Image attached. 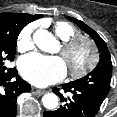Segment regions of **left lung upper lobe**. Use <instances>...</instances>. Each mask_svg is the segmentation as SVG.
Instances as JSON below:
<instances>
[{
  "label": "left lung upper lobe",
  "mask_w": 117,
  "mask_h": 117,
  "mask_svg": "<svg viewBox=\"0 0 117 117\" xmlns=\"http://www.w3.org/2000/svg\"><path fill=\"white\" fill-rule=\"evenodd\" d=\"M67 18L78 25L84 32L89 34V36L95 41L100 52V61L95 69L83 78L70 82V84L93 90L101 97L105 98L110 90L112 76V62L106 43L84 22L69 16H67Z\"/></svg>",
  "instance_id": "obj_1"
}]
</instances>
